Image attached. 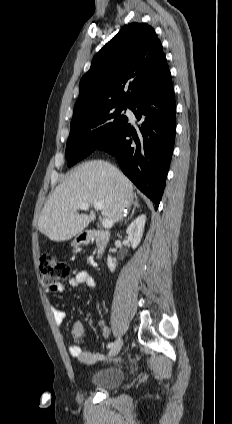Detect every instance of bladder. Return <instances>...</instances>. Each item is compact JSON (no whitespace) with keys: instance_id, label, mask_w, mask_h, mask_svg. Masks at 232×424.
<instances>
[{"instance_id":"bladder-1","label":"bladder","mask_w":232,"mask_h":424,"mask_svg":"<svg viewBox=\"0 0 232 424\" xmlns=\"http://www.w3.org/2000/svg\"><path fill=\"white\" fill-rule=\"evenodd\" d=\"M125 379V371L118 366H109L99 370L92 378L91 385L103 391L116 389Z\"/></svg>"}]
</instances>
